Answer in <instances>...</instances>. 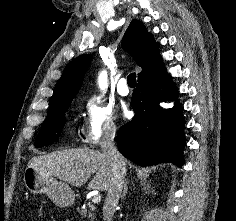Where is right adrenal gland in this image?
Wrapping results in <instances>:
<instances>
[{"mask_svg": "<svg viewBox=\"0 0 236 221\" xmlns=\"http://www.w3.org/2000/svg\"><path fill=\"white\" fill-rule=\"evenodd\" d=\"M127 184H128V181L126 180V181L124 182V185H123L122 198H124L125 195H126V193H127V190H128Z\"/></svg>", "mask_w": 236, "mask_h": 221, "instance_id": "2a0ac1e0", "label": "right adrenal gland"}]
</instances>
